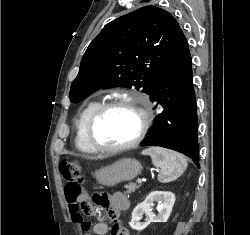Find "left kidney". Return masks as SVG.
Returning a JSON list of instances; mask_svg holds the SVG:
<instances>
[{
	"label": "left kidney",
	"mask_w": 250,
	"mask_h": 235,
	"mask_svg": "<svg viewBox=\"0 0 250 235\" xmlns=\"http://www.w3.org/2000/svg\"><path fill=\"white\" fill-rule=\"evenodd\" d=\"M158 203L159 214L155 215L152 212V205ZM175 203V195L169 191H154L151 192L143 202L138 204L133 212L132 219L129 223L130 227L137 231L144 230L151 222H167L173 205ZM146 213L149 216L148 222H140L142 215Z\"/></svg>",
	"instance_id": "left-kidney-1"
}]
</instances>
